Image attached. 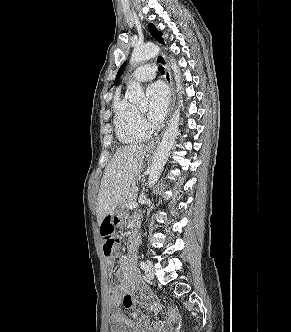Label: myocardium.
<instances>
[{
	"label": "myocardium",
	"mask_w": 291,
	"mask_h": 332,
	"mask_svg": "<svg viewBox=\"0 0 291 332\" xmlns=\"http://www.w3.org/2000/svg\"><path fill=\"white\" fill-rule=\"evenodd\" d=\"M138 113H139V115H141V114H142V112H141V111H138Z\"/></svg>",
	"instance_id": "myocardium-1"
}]
</instances>
